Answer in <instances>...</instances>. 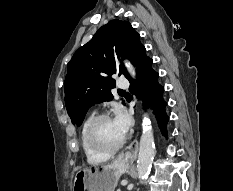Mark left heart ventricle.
<instances>
[{
	"label": "left heart ventricle",
	"instance_id": "left-heart-ventricle-1",
	"mask_svg": "<svg viewBox=\"0 0 233 191\" xmlns=\"http://www.w3.org/2000/svg\"><path fill=\"white\" fill-rule=\"evenodd\" d=\"M123 137L124 136L121 134L113 119L101 121L95 130L96 142L105 148L115 146L123 139Z\"/></svg>",
	"mask_w": 233,
	"mask_h": 191
}]
</instances>
